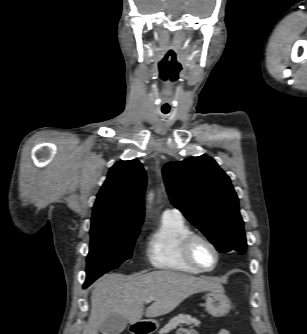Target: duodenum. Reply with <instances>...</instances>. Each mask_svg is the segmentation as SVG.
<instances>
[{
	"mask_svg": "<svg viewBox=\"0 0 307 334\" xmlns=\"http://www.w3.org/2000/svg\"><path fill=\"white\" fill-rule=\"evenodd\" d=\"M132 334H151V330L142 327L133 328Z\"/></svg>",
	"mask_w": 307,
	"mask_h": 334,
	"instance_id": "410a0bca",
	"label": "duodenum"
}]
</instances>
